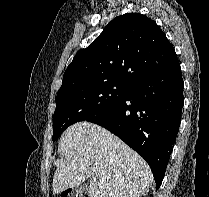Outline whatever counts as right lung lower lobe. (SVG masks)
Wrapping results in <instances>:
<instances>
[{
	"label": "right lung lower lobe",
	"instance_id": "98d812e1",
	"mask_svg": "<svg viewBox=\"0 0 209 197\" xmlns=\"http://www.w3.org/2000/svg\"><path fill=\"white\" fill-rule=\"evenodd\" d=\"M183 79L178 59L136 83L129 94L86 121L122 139L149 164L162 183L181 122Z\"/></svg>",
	"mask_w": 209,
	"mask_h": 197
}]
</instances>
